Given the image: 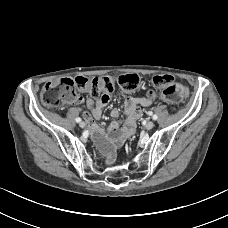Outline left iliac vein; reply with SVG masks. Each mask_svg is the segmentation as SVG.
Wrapping results in <instances>:
<instances>
[{
  "label": "left iliac vein",
  "mask_w": 228,
  "mask_h": 228,
  "mask_svg": "<svg viewBox=\"0 0 228 228\" xmlns=\"http://www.w3.org/2000/svg\"><path fill=\"white\" fill-rule=\"evenodd\" d=\"M154 122L153 121H148L146 124H145V128L150 130L154 127Z\"/></svg>",
  "instance_id": "1"
}]
</instances>
